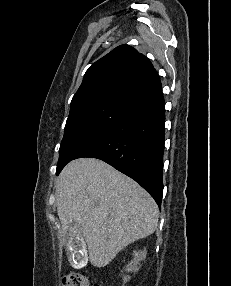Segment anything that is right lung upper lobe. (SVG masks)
<instances>
[{"instance_id":"cb5924a9","label":"right lung upper lobe","mask_w":231,"mask_h":286,"mask_svg":"<svg viewBox=\"0 0 231 286\" xmlns=\"http://www.w3.org/2000/svg\"><path fill=\"white\" fill-rule=\"evenodd\" d=\"M161 84L150 61L129 45H120L96 61L73 96L70 113L91 104L114 101L129 107Z\"/></svg>"}]
</instances>
